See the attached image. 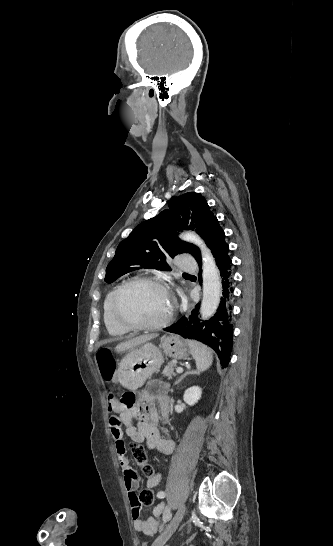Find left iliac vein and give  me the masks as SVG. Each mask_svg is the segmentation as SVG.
I'll list each match as a JSON object with an SVG mask.
<instances>
[{
  "label": "left iliac vein",
  "mask_w": 333,
  "mask_h": 546,
  "mask_svg": "<svg viewBox=\"0 0 333 546\" xmlns=\"http://www.w3.org/2000/svg\"><path fill=\"white\" fill-rule=\"evenodd\" d=\"M185 511H186V507L183 504L179 507L176 514L174 515L170 523L166 526L164 531L153 542L152 546H164V544L168 541V539L173 535V533L178 528L180 522L183 519Z\"/></svg>",
  "instance_id": "1"
}]
</instances>
